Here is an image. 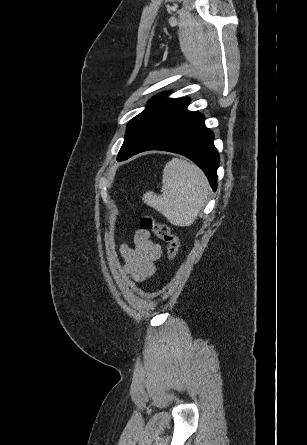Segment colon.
I'll return each instance as SVG.
<instances>
[{
  "label": "colon",
  "instance_id": "obj_1",
  "mask_svg": "<svg viewBox=\"0 0 307 445\" xmlns=\"http://www.w3.org/2000/svg\"><path fill=\"white\" fill-rule=\"evenodd\" d=\"M140 227L145 231H152L158 238L166 243L167 257L173 261L180 247V239L172 229L162 223H158L151 216L146 215L140 219Z\"/></svg>",
  "mask_w": 307,
  "mask_h": 445
}]
</instances>
